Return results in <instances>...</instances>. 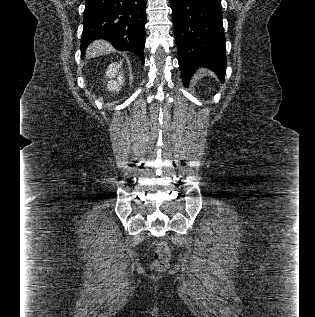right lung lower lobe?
<instances>
[{
    "label": "right lung lower lobe",
    "instance_id": "1",
    "mask_svg": "<svg viewBox=\"0 0 315 317\" xmlns=\"http://www.w3.org/2000/svg\"><path fill=\"white\" fill-rule=\"evenodd\" d=\"M146 0H87L81 39L82 57L88 44L105 39L119 51L138 55L144 64Z\"/></svg>",
    "mask_w": 315,
    "mask_h": 317
}]
</instances>
